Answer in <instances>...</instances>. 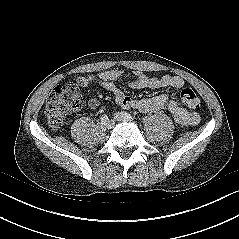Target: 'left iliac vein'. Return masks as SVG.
<instances>
[{
	"label": "left iliac vein",
	"mask_w": 239,
	"mask_h": 239,
	"mask_svg": "<svg viewBox=\"0 0 239 239\" xmlns=\"http://www.w3.org/2000/svg\"><path fill=\"white\" fill-rule=\"evenodd\" d=\"M114 118H115V120L120 121V122H132L133 121L132 118L125 116L123 112H115Z\"/></svg>",
	"instance_id": "1"
}]
</instances>
